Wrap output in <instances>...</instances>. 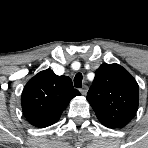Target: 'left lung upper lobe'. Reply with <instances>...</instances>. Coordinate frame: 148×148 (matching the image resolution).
<instances>
[{"instance_id":"1","label":"left lung upper lobe","mask_w":148,"mask_h":148,"mask_svg":"<svg viewBox=\"0 0 148 148\" xmlns=\"http://www.w3.org/2000/svg\"><path fill=\"white\" fill-rule=\"evenodd\" d=\"M86 99L99 121L108 128H122L135 116L139 103V87L122 66L102 64Z\"/></svg>"}]
</instances>
